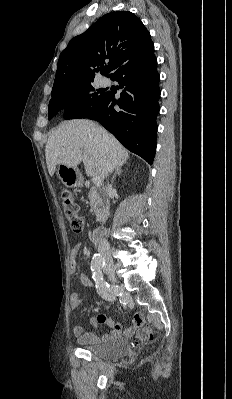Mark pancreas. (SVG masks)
Listing matches in <instances>:
<instances>
[{
  "mask_svg": "<svg viewBox=\"0 0 232 399\" xmlns=\"http://www.w3.org/2000/svg\"><path fill=\"white\" fill-rule=\"evenodd\" d=\"M88 198L92 209L95 211L96 221H106L109 211V201L97 188H91Z\"/></svg>",
  "mask_w": 232,
  "mask_h": 399,
  "instance_id": "1",
  "label": "pancreas"
}]
</instances>
